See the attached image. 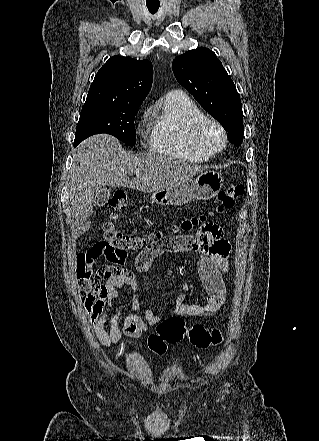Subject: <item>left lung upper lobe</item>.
Masks as SVG:
<instances>
[{"mask_svg":"<svg viewBox=\"0 0 319 441\" xmlns=\"http://www.w3.org/2000/svg\"><path fill=\"white\" fill-rule=\"evenodd\" d=\"M177 81L235 138L243 140L241 100L232 79L215 53L200 47L176 57L172 64Z\"/></svg>","mask_w":319,"mask_h":441,"instance_id":"left-lung-upper-lobe-1","label":"left lung upper lobe"}]
</instances>
